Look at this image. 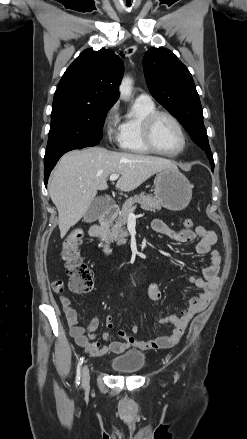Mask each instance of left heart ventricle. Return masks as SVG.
<instances>
[{
    "label": "left heart ventricle",
    "instance_id": "1",
    "mask_svg": "<svg viewBox=\"0 0 247 439\" xmlns=\"http://www.w3.org/2000/svg\"><path fill=\"white\" fill-rule=\"evenodd\" d=\"M155 146L165 152H173L181 146V136L176 125L167 117H159L152 131Z\"/></svg>",
    "mask_w": 247,
    "mask_h": 439
}]
</instances>
